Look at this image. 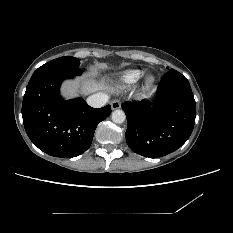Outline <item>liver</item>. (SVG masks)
Here are the masks:
<instances>
[{
    "label": "liver",
    "instance_id": "obj_1",
    "mask_svg": "<svg viewBox=\"0 0 233 233\" xmlns=\"http://www.w3.org/2000/svg\"><path fill=\"white\" fill-rule=\"evenodd\" d=\"M104 86L103 81H96L93 78H82L77 82L65 81L61 87V93L64 97L73 98L79 95L78 88L81 89L80 93L87 95L93 93Z\"/></svg>",
    "mask_w": 233,
    "mask_h": 233
}]
</instances>
